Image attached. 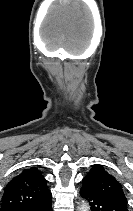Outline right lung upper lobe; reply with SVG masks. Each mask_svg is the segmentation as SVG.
<instances>
[{
	"mask_svg": "<svg viewBox=\"0 0 133 211\" xmlns=\"http://www.w3.org/2000/svg\"><path fill=\"white\" fill-rule=\"evenodd\" d=\"M46 179L36 167L24 169L6 186L1 211H27L51 197Z\"/></svg>",
	"mask_w": 133,
	"mask_h": 211,
	"instance_id": "cb5924a9",
	"label": "right lung upper lobe"
}]
</instances>
